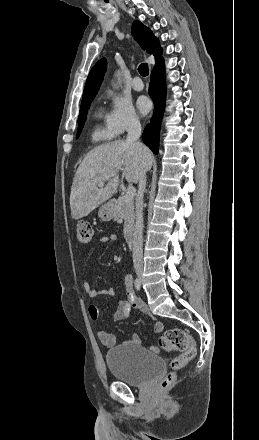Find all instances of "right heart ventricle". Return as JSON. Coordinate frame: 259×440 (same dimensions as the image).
Segmentation results:
<instances>
[{"mask_svg":"<svg viewBox=\"0 0 259 440\" xmlns=\"http://www.w3.org/2000/svg\"><path fill=\"white\" fill-rule=\"evenodd\" d=\"M94 118L95 124L91 131V139L94 142H102L111 139L113 134L106 124V116L102 110H98L95 113Z\"/></svg>","mask_w":259,"mask_h":440,"instance_id":"right-heart-ventricle-1","label":"right heart ventricle"}]
</instances>
